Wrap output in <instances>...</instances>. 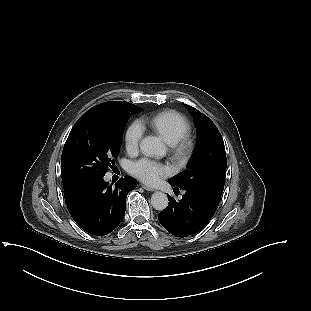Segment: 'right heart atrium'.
Returning a JSON list of instances; mask_svg holds the SVG:
<instances>
[{"mask_svg": "<svg viewBox=\"0 0 311 311\" xmlns=\"http://www.w3.org/2000/svg\"><path fill=\"white\" fill-rule=\"evenodd\" d=\"M143 136V128L137 121L132 122L126 130V145L130 151L138 149Z\"/></svg>", "mask_w": 311, "mask_h": 311, "instance_id": "obj_1", "label": "right heart atrium"}]
</instances>
